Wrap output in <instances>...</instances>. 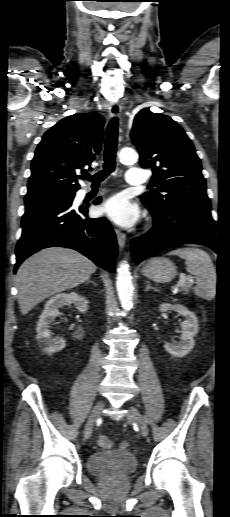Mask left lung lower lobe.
I'll return each instance as SVG.
<instances>
[{
  "instance_id": "1",
  "label": "left lung lower lobe",
  "mask_w": 230,
  "mask_h": 517,
  "mask_svg": "<svg viewBox=\"0 0 230 517\" xmlns=\"http://www.w3.org/2000/svg\"><path fill=\"white\" fill-rule=\"evenodd\" d=\"M154 226L140 238H134L131 251L139 263L159 251L182 244H199L219 254L215 223L210 203H187L165 212H153Z\"/></svg>"
}]
</instances>
